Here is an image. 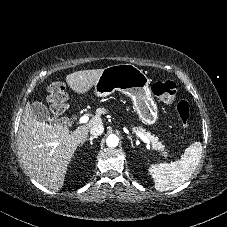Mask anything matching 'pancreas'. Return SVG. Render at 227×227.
<instances>
[{
    "label": "pancreas",
    "instance_id": "1",
    "mask_svg": "<svg viewBox=\"0 0 227 227\" xmlns=\"http://www.w3.org/2000/svg\"><path fill=\"white\" fill-rule=\"evenodd\" d=\"M137 132H140L146 136L149 137L152 147L158 151L160 153L161 156L163 157H167V151L165 149V145H163L160 141H158V137H155L153 135H151L150 132H146L145 129H143L142 127H135L134 128Z\"/></svg>",
    "mask_w": 227,
    "mask_h": 227
}]
</instances>
